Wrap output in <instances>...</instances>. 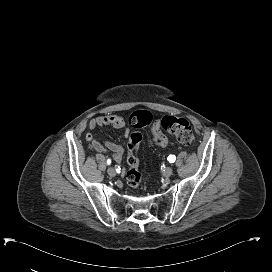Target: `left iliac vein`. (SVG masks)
<instances>
[{
  "label": "left iliac vein",
  "instance_id": "4c4485c4",
  "mask_svg": "<svg viewBox=\"0 0 272 272\" xmlns=\"http://www.w3.org/2000/svg\"><path fill=\"white\" fill-rule=\"evenodd\" d=\"M173 173V169L171 167H167L165 170H164V176L165 177H170Z\"/></svg>",
  "mask_w": 272,
  "mask_h": 272
}]
</instances>
